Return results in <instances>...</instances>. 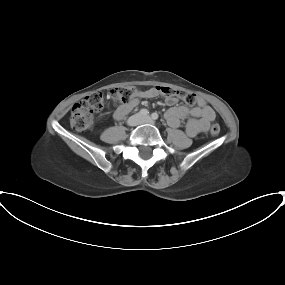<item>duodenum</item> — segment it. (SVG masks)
Masks as SVG:
<instances>
[{"label": "duodenum", "mask_w": 285, "mask_h": 285, "mask_svg": "<svg viewBox=\"0 0 285 285\" xmlns=\"http://www.w3.org/2000/svg\"><path fill=\"white\" fill-rule=\"evenodd\" d=\"M130 107H131V104H128L124 111L127 112L130 109Z\"/></svg>", "instance_id": "obj_1"}]
</instances>
